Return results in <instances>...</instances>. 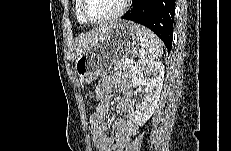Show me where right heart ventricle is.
Masks as SVG:
<instances>
[{"label": "right heart ventricle", "mask_w": 231, "mask_h": 151, "mask_svg": "<svg viewBox=\"0 0 231 151\" xmlns=\"http://www.w3.org/2000/svg\"><path fill=\"white\" fill-rule=\"evenodd\" d=\"M75 13H76V17H77L78 22H80L81 24H87V22L82 18L81 14H80V0L76 1Z\"/></svg>", "instance_id": "right-heart-ventricle-1"}]
</instances>
